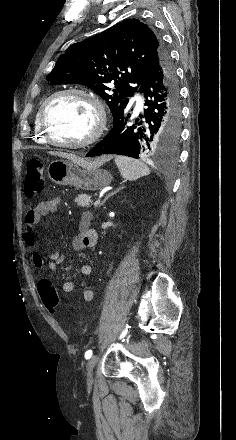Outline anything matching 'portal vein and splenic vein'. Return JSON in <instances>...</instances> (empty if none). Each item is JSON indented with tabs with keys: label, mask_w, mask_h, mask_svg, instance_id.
I'll return each mask as SVG.
<instances>
[{
	"label": "portal vein and splenic vein",
	"mask_w": 236,
	"mask_h": 440,
	"mask_svg": "<svg viewBox=\"0 0 236 440\" xmlns=\"http://www.w3.org/2000/svg\"><path fill=\"white\" fill-rule=\"evenodd\" d=\"M99 203H100V199H98V200L94 203V205L97 206Z\"/></svg>",
	"instance_id": "portal-vein-and-splenic-vein-1"
}]
</instances>
